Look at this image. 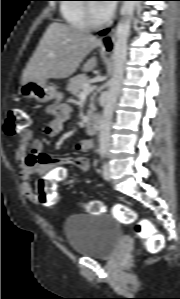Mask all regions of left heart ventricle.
<instances>
[{
  "mask_svg": "<svg viewBox=\"0 0 180 299\" xmlns=\"http://www.w3.org/2000/svg\"><path fill=\"white\" fill-rule=\"evenodd\" d=\"M101 4L93 3V14L96 20H103L107 17L104 11L101 9Z\"/></svg>",
  "mask_w": 180,
  "mask_h": 299,
  "instance_id": "left-heart-ventricle-1",
  "label": "left heart ventricle"
}]
</instances>
